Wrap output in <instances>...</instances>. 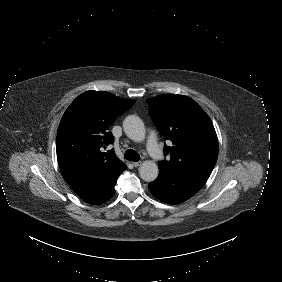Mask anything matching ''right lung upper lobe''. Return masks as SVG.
<instances>
[{
	"mask_svg": "<svg viewBox=\"0 0 282 282\" xmlns=\"http://www.w3.org/2000/svg\"><path fill=\"white\" fill-rule=\"evenodd\" d=\"M134 103L109 92L87 91L65 111L57 131V159L64 179L81 198L127 168L113 150L103 153V148L113 143L110 125Z\"/></svg>",
	"mask_w": 282,
	"mask_h": 282,
	"instance_id": "obj_1",
	"label": "right lung upper lobe"
}]
</instances>
